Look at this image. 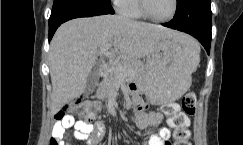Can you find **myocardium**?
Masks as SVG:
<instances>
[{"label":"myocardium","instance_id":"f54148a6","mask_svg":"<svg viewBox=\"0 0 243 145\" xmlns=\"http://www.w3.org/2000/svg\"><path fill=\"white\" fill-rule=\"evenodd\" d=\"M137 5H138V8H139L141 14L143 15V17H145L149 20H152L154 22L164 23V22L171 21L176 16L178 7H179V1L173 0L172 12L170 13V15L168 17H165V18H157V17H154L153 15H151L147 9L146 0H137Z\"/></svg>","mask_w":243,"mask_h":145}]
</instances>
